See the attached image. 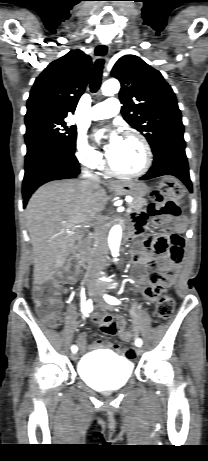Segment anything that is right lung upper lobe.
Wrapping results in <instances>:
<instances>
[{"label": "right lung upper lobe", "mask_w": 208, "mask_h": 461, "mask_svg": "<svg viewBox=\"0 0 208 461\" xmlns=\"http://www.w3.org/2000/svg\"><path fill=\"white\" fill-rule=\"evenodd\" d=\"M91 64L90 56L79 49L51 62L33 84L26 116L66 117L73 113L86 88Z\"/></svg>", "instance_id": "1"}]
</instances>
